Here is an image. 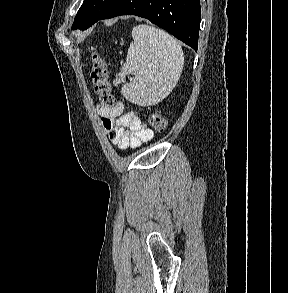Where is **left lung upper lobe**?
I'll use <instances>...</instances> for the list:
<instances>
[{
    "label": "left lung upper lobe",
    "instance_id": "obj_1",
    "mask_svg": "<svg viewBox=\"0 0 288 293\" xmlns=\"http://www.w3.org/2000/svg\"><path fill=\"white\" fill-rule=\"evenodd\" d=\"M117 0H84L72 29L85 30L92 26Z\"/></svg>",
    "mask_w": 288,
    "mask_h": 293
}]
</instances>
